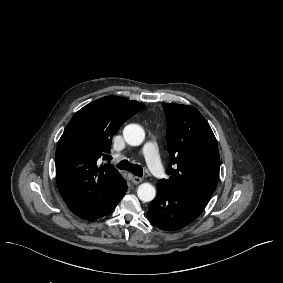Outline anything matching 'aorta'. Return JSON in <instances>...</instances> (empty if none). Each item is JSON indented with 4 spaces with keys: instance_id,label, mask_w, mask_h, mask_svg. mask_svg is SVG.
<instances>
[{
    "instance_id": "1",
    "label": "aorta",
    "mask_w": 283,
    "mask_h": 283,
    "mask_svg": "<svg viewBox=\"0 0 283 283\" xmlns=\"http://www.w3.org/2000/svg\"><path fill=\"white\" fill-rule=\"evenodd\" d=\"M123 137L127 144L139 146L145 139V132L138 124H129L123 130ZM138 198L143 202H150L156 196V189L150 183H142L137 190Z\"/></svg>"
}]
</instances>
